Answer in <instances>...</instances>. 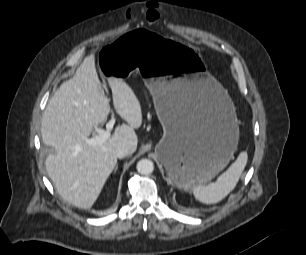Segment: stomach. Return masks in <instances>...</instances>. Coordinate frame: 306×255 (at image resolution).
<instances>
[{
    "label": "stomach",
    "instance_id": "stomach-1",
    "mask_svg": "<svg viewBox=\"0 0 306 255\" xmlns=\"http://www.w3.org/2000/svg\"><path fill=\"white\" fill-rule=\"evenodd\" d=\"M98 67L143 76L163 127L155 153L179 189L208 183L228 164L239 140L235 107L195 50L137 26L102 48Z\"/></svg>",
    "mask_w": 306,
    "mask_h": 255
}]
</instances>
